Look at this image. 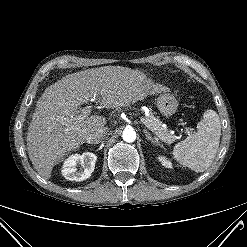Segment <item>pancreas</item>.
<instances>
[{"instance_id":"obj_1","label":"pancreas","mask_w":247,"mask_h":247,"mask_svg":"<svg viewBox=\"0 0 247 247\" xmlns=\"http://www.w3.org/2000/svg\"><path fill=\"white\" fill-rule=\"evenodd\" d=\"M150 130L154 132L162 141L166 143H173L176 140V136L169 132L167 128L163 127L162 122L155 117L152 113L145 117Z\"/></svg>"}]
</instances>
